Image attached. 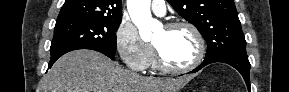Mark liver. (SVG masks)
Returning <instances> with one entry per match:
<instances>
[{"instance_id":"1","label":"liver","mask_w":289,"mask_h":92,"mask_svg":"<svg viewBox=\"0 0 289 92\" xmlns=\"http://www.w3.org/2000/svg\"><path fill=\"white\" fill-rule=\"evenodd\" d=\"M184 79L142 77L87 49L59 58L43 79V92H177Z\"/></svg>"}]
</instances>
